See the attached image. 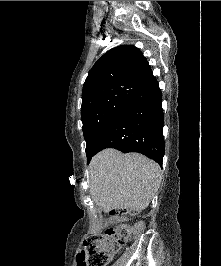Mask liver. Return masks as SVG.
I'll list each match as a JSON object with an SVG mask.
<instances>
[{
    "mask_svg": "<svg viewBox=\"0 0 221 266\" xmlns=\"http://www.w3.org/2000/svg\"><path fill=\"white\" fill-rule=\"evenodd\" d=\"M162 173L154 161L138 153L105 149L89 165V189L105 212L130 209L140 212L158 191Z\"/></svg>",
    "mask_w": 221,
    "mask_h": 266,
    "instance_id": "liver-1",
    "label": "liver"
}]
</instances>
